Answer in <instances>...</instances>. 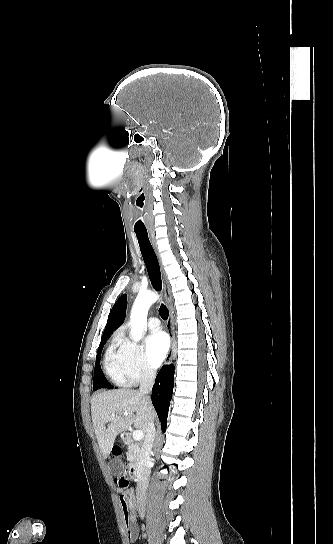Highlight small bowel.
<instances>
[{
	"label": "small bowel",
	"instance_id": "1",
	"mask_svg": "<svg viewBox=\"0 0 333 544\" xmlns=\"http://www.w3.org/2000/svg\"><path fill=\"white\" fill-rule=\"evenodd\" d=\"M121 509L126 522V531L129 541L136 540L139 534V527L136 522V500L133 489L123 491L119 497Z\"/></svg>",
	"mask_w": 333,
	"mask_h": 544
}]
</instances>
